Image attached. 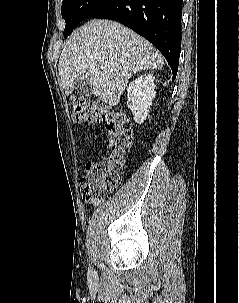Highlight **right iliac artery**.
<instances>
[{
	"label": "right iliac artery",
	"instance_id": "right-iliac-artery-1",
	"mask_svg": "<svg viewBox=\"0 0 239 303\" xmlns=\"http://www.w3.org/2000/svg\"><path fill=\"white\" fill-rule=\"evenodd\" d=\"M90 272H93V269L90 267Z\"/></svg>",
	"mask_w": 239,
	"mask_h": 303
}]
</instances>
